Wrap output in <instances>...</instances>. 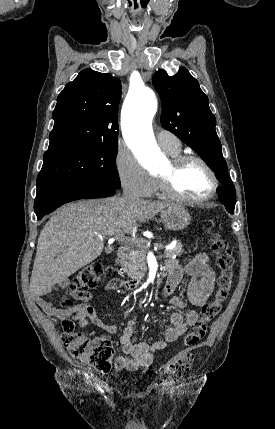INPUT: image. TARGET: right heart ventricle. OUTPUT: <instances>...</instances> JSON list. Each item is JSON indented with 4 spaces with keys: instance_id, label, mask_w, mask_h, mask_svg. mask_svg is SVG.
<instances>
[{
    "instance_id": "e07e8e85",
    "label": "right heart ventricle",
    "mask_w": 275,
    "mask_h": 429,
    "mask_svg": "<svg viewBox=\"0 0 275 429\" xmlns=\"http://www.w3.org/2000/svg\"><path fill=\"white\" fill-rule=\"evenodd\" d=\"M171 156H176L178 154H180V149L177 151H167Z\"/></svg>"
}]
</instances>
